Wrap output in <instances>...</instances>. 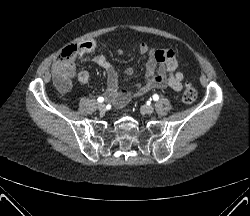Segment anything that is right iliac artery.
I'll use <instances>...</instances> for the list:
<instances>
[{
    "label": "right iliac artery",
    "instance_id": "1",
    "mask_svg": "<svg viewBox=\"0 0 250 216\" xmlns=\"http://www.w3.org/2000/svg\"><path fill=\"white\" fill-rule=\"evenodd\" d=\"M97 100H98V102L102 103L104 101V98L103 97H99Z\"/></svg>",
    "mask_w": 250,
    "mask_h": 216
}]
</instances>
